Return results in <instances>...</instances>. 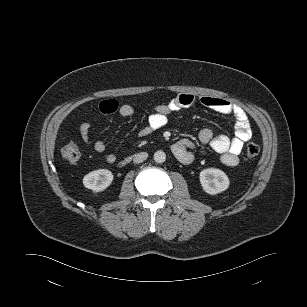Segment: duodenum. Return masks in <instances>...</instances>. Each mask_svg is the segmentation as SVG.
Wrapping results in <instances>:
<instances>
[{"label": "duodenum", "instance_id": "1", "mask_svg": "<svg viewBox=\"0 0 307 307\" xmlns=\"http://www.w3.org/2000/svg\"><path fill=\"white\" fill-rule=\"evenodd\" d=\"M127 160H128V158H126V159L123 161V163H126V162H127Z\"/></svg>", "mask_w": 307, "mask_h": 307}]
</instances>
